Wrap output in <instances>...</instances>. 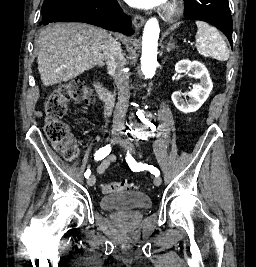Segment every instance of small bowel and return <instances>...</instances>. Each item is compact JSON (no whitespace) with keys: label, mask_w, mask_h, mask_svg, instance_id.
<instances>
[{"label":"small bowel","mask_w":256,"mask_h":267,"mask_svg":"<svg viewBox=\"0 0 256 267\" xmlns=\"http://www.w3.org/2000/svg\"><path fill=\"white\" fill-rule=\"evenodd\" d=\"M115 161H116V157L114 155L112 154L107 155L104 159H102V161L98 165L96 169L97 173L103 174L109 168V166Z\"/></svg>","instance_id":"1"}]
</instances>
